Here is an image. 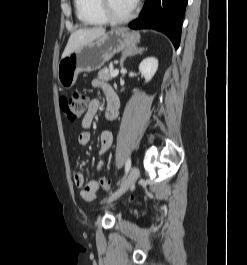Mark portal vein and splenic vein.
<instances>
[{
    "label": "portal vein and splenic vein",
    "instance_id": "obj_1",
    "mask_svg": "<svg viewBox=\"0 0 247 265\" xmlns=\"http://www.w3.org/2000/svg\"><path fill=\"white\" fill-rule=\"evenodd\" d=\"M118 73H119V70H118V69H114V70L112 71V73H111V76H112V77H116V76L118 75Z\"/></svg>",
    "mask_w": 247,
    "mask_h": 265
}]
</instances>
